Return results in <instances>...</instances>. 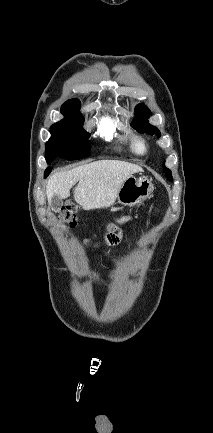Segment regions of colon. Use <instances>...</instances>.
<instances>
[{
  "mask_svg": "<svg viewBox=\"0 0 213 433\" xmlns=\"http://www.w3.org/2000/svg\"><path fill=\"white\" fill-rule=\"evenodd\" d=\"M77 207L67 206L59 214L58 219L68 227H73L77 223L76 218Z\"/></svg>",
  "mask_w": 213,
  "mask_h": 433,
  "instance_id": "5ec220e1",
  "label": "colon"
}]
</instances>
